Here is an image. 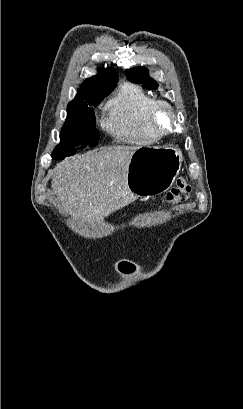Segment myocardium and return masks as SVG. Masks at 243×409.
<instances>
[{
  "instance_id": "1",
  "label": "myocardium",
  "mask_w": 243,
  "mask_h": 409,
  "mask_svg": "<svg viewBox=\"0 0 243 409\" xmlns=\"http://www.w3.org/2000/svg\"><path fill=\"white\" fill-rule=\"evenodd\" d=\"M162 111H166L171 118V126L168 129H162L159 126L158 116ZM148 123L150 129L158 138L172 134L178 125L177 116L172 106L163 100H155L150 106L148 111Z\"/></svg>"
}]
</instances>
